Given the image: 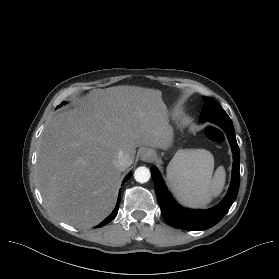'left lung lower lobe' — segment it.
Masks as SVG:
<instances>
[{"mask_svg":"<svg viewBox=\"0 0 279 279\" xmlns=\"http://www.w3.org/2000/svg\"><path fill=\"white\" fill-rule=\"evenodd\" d=\"M219 125L226 133L233 152L232 181L227 195L223 201L209 210H190L179 206L164 185L163 179L156 167L150 169L155 185V191L160 204L161 213L166 222L176 228L185 230H205L217 224L228 212L235 201L240 183V154L235 137V131L231 119L217 120Z\"/></svg>","mask_w":279,"mask_h":279,"instance_id":"obj_1","label":"left lung lower lobe"}]
</instances>
